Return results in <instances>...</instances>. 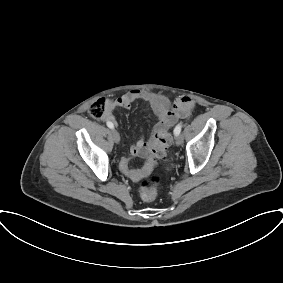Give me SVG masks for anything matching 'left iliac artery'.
Masks as SVG:
<instances>
[{"mask_svg": "<svg viewBox=\"0 0 283 283\" xmlns=\"http://www.w3.org/2000/svg\"><path fill=\"white\" fill-rule=\"evenodd\" d=\"M181 128H182V125L181 124H178L175 129H174V134L177 136L180 134L181 132Z\"/></svg>", "mask_w": 283, "mask_h": 283, "instance_id": "left-iliac-artery-1", "label": "left iliac artery"}]
</instances>
